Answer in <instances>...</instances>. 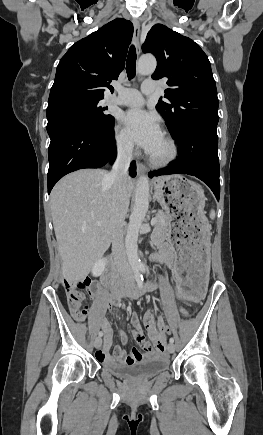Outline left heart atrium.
I'll return each mask as SVG.
<instances>
[{"instance_id": "obj_1", "label": "left heart atrium", "mask_w": 263, "mask_h": 435, "mask_svg": "<svg viewBox=\"0 0 263 435\" xmlns=\"http://www.w3.org/2000/svg\"><path fill=\"white\" fill-rule=\"evenodd\" d=\"M128 137L151 154L163 139L160 125L153 114L131 109L122 117Z\"/></svg>"}]
</instances>
